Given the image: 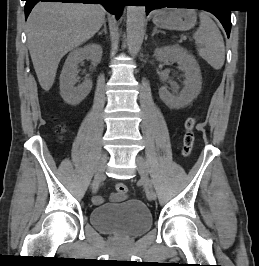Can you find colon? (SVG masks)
Here are the masks:
<instances>
[{"instance_id": "1", "label": "colon", "mask_w": 259, "mask_h": 266, "mask_svg": "<svg viewBox=\"0 0 259 266\" xmlns=\"http://www.w3.org/2000/svg\"><path fill=\"white\" fill-rule=\"evenodd\" d=\"M196 125V118L195 117H189L184 124L185 127V132L183 135V145H182V155L187 157L191 154L193 146H194V141H195V135H194V127ZM60 131L63 129L60 127ZM115 190L116 193L120 195H125L127 193V186L122 183L118 182L115 185Z\"/></svg>"}]
</instances>
